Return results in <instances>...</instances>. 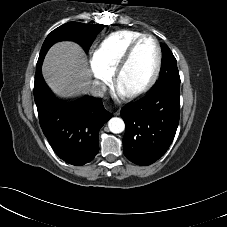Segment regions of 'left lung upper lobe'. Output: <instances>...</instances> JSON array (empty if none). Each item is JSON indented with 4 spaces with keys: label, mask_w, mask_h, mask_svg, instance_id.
Returning <instances> with one entry per match:
<instances>
[{
    "label": "left lung upper lobe",
    "mask_w": 227,
    "mask_h": 227,
    "mask_svg": "<svg viewBox=\"0 0 227 227\" xmlns=\"http://www.w3.org/2000/svg\"><path fill=\"white\" fill-rule=\"evenodd\" d=\"M163 57L159 79L153 88L169 87L180 89V76L177 68V62L169 47L161 44Z\"/></svg>",
    "instance_id": "5c2ea615"
}]
</instances>
